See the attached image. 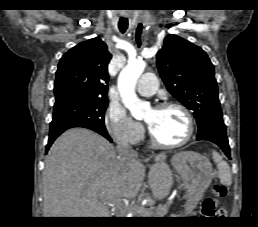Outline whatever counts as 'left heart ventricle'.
Masks as SVG:
<instances>
[{"label": "left heart ventricle", "mask_w": 258, "mask_h": 227, "mask_svg": "<svg viewBox=\"0 0 258 227\" xmlns=\"http://www.w3.org/2000/svg\"><path fill=\"white\" fill-rule=\"evenodd\" d=\"M144 120L155 136L165 143L182 140L188 131L185 115L176 108L150 109L145 113Z\"/></svg>", "instance_id": "b2bd125f"}]
</instances>
